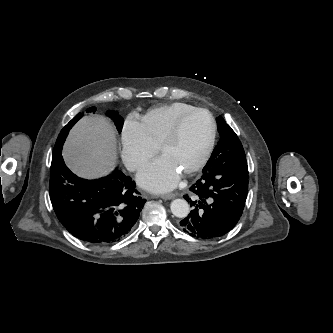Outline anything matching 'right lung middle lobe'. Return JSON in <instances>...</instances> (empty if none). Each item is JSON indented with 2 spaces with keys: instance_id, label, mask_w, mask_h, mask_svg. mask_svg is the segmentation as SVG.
I'll list each match as a JSON object with an SVG mask.
<instances>
[{
  "instance_id": "obj_1",
  "label": "right lung middle lobe",
  "mask_w": 333,
  "mask_h": 333,
  "mask_svg": "<svg viewBox=\"0 0 333 333\" xmlns=\"http://www.w3.org/2000/svg\"><path fill=\"white\" fill-rule=\"evenodd\" d=\"M92 109H87V111L92 112ZM107 115L110 116L118 129L119 132H121L124 120L121 116H119L116 112H107ZM83 113H78L60 132L56 144L54 146L53 153L60 152L62 150L63 143L68 135L69 130L72 128V126L80 119L82 118Z\"/></svg>"
}]
</instances>
